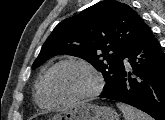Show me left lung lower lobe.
<instances>
[{
  "instance_id": "1",
  "label": "left lung lower lobe",
  "mask_w": 165,
  "mask_h": 120,
  "mask_svg": "<svg viewBox=\"0 0 165 120\" xmlns=\"http://www.w3.org/2000/svg\"><path fill=\"white\" fill-rule=\"evenodd\" d=\"M100 97L134 106L155 120H165V55L149 26L125 51L117 88Z\"/></svg>"
}]
</instances>
